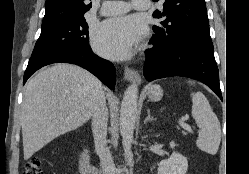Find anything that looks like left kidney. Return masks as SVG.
Wrapping results in <instances>:
<instances>
[{
  "label": "left kidney",
  "instance_id": "5707ae66",
  "mask_svg": "<svg viewBox=\"0 0 249 174\" xmlns=\"http://www.w3.org/2000/svg\"><path fill=\"white\" fill-rule=\"evenodd\" d=\"M170 147L175 148V143L170 142ZM188 161L185 156L174 152L169 159L159 163L158 174H186Z\"/></svg>",
  "mask_w": 249,
  "mask_h": 174
}]
</instances>
